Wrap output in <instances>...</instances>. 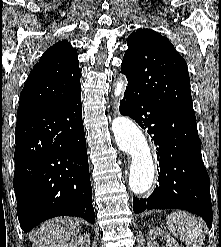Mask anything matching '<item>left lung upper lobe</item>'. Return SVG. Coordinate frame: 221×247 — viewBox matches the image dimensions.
Returning <instances> with one entry per match:
<instances>
[{"mask_svg": "<svg viewBox=\"0 0 221 247\" xmlns=\"http://www.w3.org/2000/svg\"><path fill=\"white\" fill-rule=\"evenodd\" d=\"M121 67L128 86L140 98L175 112L195 116L187 64L170 41L152 29L127 38Z\"/></svg>", "mask_w": 221, "mask_h": 247, "instance_id": "1", "label": "left lung upper lobe"}]
</instances>
